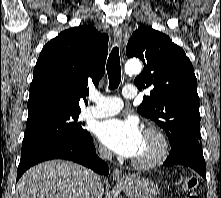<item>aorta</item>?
Masks as SVG:
<instances>
[{
  "mask_svg": "<svg viewBox=\"0 0 221 198\" xmlns=\"http://www.w3.org/2000/svg\"><path fill=\"white\" fill-rule=\"evenodd\" d=\"M142 70V64L139 60L133 59L129 60L125 64V72L128 75H134L140 73Z\"/></svg>",
  "mask_w": 221,
  "mask_h": 198,
  "instance_id": "762f6f07",
  "label": "aorta"
}]
</instances>
